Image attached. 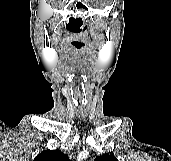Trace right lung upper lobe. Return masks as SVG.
<instances>
[{"label":"right lung upper lobe","instance_id":"1","mask_svg":"<svg viewBox=\"0 0 171 161\" xmlns=\"http://www.w3.org/2000/svg\"><path fill=\"white\" fill-rule=\"evenodd\" d=\"M34 161H70L68 156L59 150H45Z\"/></svg>","mask_w":171,"mask_h":161}]
</instances>
